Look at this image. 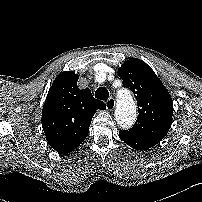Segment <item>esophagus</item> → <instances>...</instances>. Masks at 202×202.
Here are the masks:
<instances>
[{
  "mask_svg": "<svg viewBox=\"0 0 202 202\" xmlns=\"http://www.w3.org/2000/svg\"><path fill=\"white\" fill-rule=\"evenodd\" d=\"M106 108L108 111H112L115 108L116 102L113 97H110L106 102Z\"/></svg>",
  "mask_w": 202,
  "mask_h": 202,
  "instance_id": "34e87169",
  "label": "esophagus"
}]
</instances>
